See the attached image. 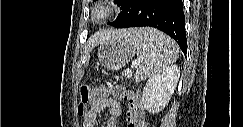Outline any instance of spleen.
<instances>
[{
	"mask_svg": "<svg viewBox=\"0 0 243 127\" xmlns=\"http://www.w3.org/2000/svg\"><path fill=\"white\" fill-rule=\"evenodd\" d=\"M138 51V57L131 66L136 68V82L144 80L178 58L176 43L164 33L152 28H140L126 37Z\"/></svg>",
	"mask_w": 243,
	"mask_h": 127,
	"instance_id": "1",
	"label": "spleen"
}]
</instances>
